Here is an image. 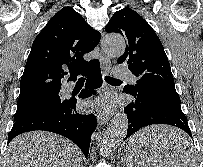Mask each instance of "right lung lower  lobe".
Here are the masks:
<instances>
[{"instance_id":"98d812e1","label":"right lung lower lobe","mask_w":203,"mask_h":167,"mask_svg":"<svg viewBox=\"0 0 203 167\" xmlns=\"http://www.w3.org/2000/svg\"><path fill=\"white\" fill-rule=\"evenodd\" d=\"M87 76L86 89L79 94L80 98H87L95 94L94 89L102 85L99 62L84 73ZM77 99L64 100L59 106L31 113L15 121L9 136L8 143L17 135L34 130H45L60 134L72 140L87 158L90 139L97 123L93 114L81 115L76 112Z\"/></svg>"}]
</instances>
